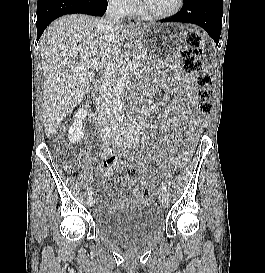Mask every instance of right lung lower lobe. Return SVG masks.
<instances>
[{"mask_svg":"<svg viewBox=\"0 0 265 273\" xmlns=\"http://www.w3.org/2000/svg\"><path fill=\"white\" fill-rule=\"evenodd\" d=\"M107 5V0H38L37 40L56 18L75 13L102 16L106 12Z\"/></svg>","mask_w":265,"mask_h":273,"instance_id":"1","label":"right lung lower lobe"}]
</instances>
